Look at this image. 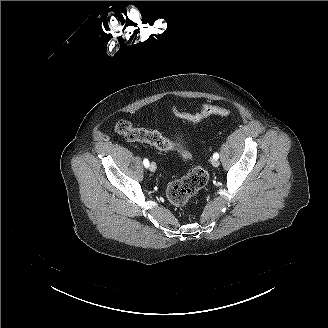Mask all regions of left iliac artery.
Segmentation results:
<instances>
[{"label": "left iliac artery", "mask_w": 328, "mask_h": 328, "mask_svg": "<svg viewBox=\"0 0 328 328\" xmlns=\"http://www.w3.org/2000/svg\"><path fill=\"white\" fill-rule=\"evenodd\" d=\"M213 158L214 159H218L219 158V154L218 153H214Z\"/></svg>", "instance_id": "left-iliac-artery-1"}]
</instances>
